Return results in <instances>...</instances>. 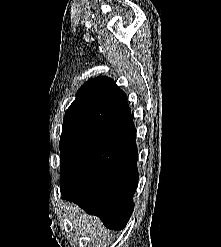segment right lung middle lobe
Segmentation results:
<instances>
[{"label":"right lung middle lobe","instance_id":"1","mask_svg":"<svg viewBox=\"0 0 221 247\" xmlns=\"http://www.w3.org/2000/svg\"><path fill=\"white\" fill-rule=\"evenodd\" d=\"M83 129L80 128H65L62 129V136L60 139V150L61 154L69 144L71 140H73Z\"/></svg>","mask_w":221,"mask_h":247}]
</instances>
